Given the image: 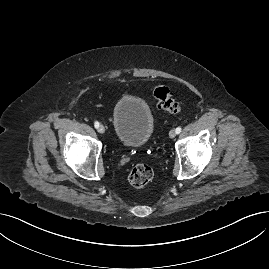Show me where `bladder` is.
Listing matches in <instances>:
<instances>
[{"label": "bladder", "mask_w": 269, "mask_h": 269, "mask_svg": "<svg viewBox=\"0 0 269 269\" xmlns=\"http://www.w3.org/2000/svg\"><path fill=\"white\" fill-rule=\"evenodd\" d=\"M113 130L117 140L126 146L146 144L154 131V117L147 103L138 96L123 95L116 102Z\"/></svg>", "instance_id": "1"}]
</instances>
